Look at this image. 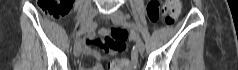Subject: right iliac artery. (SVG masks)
Returning a JSON list of instances; mask_svg holds the SVG:
<instances>
[{
	"mask_svg": "<svg viewBox=\"0 0 238 70\" xmlns=\"http://www.w3.org/2000/svg\"><path fill=\"white\" fill-rule=\"evenodd\" d=\"M95 27H96V24L92 23V24L88 25L85 29H81L78 34L80 35V34L86 32L88 30H91V29L95 28Z\"/></svg>",
	"mask_w": 238,
	"mask_h": 70,
	"instance_id": "obj_1",
	"label": "right iliac artery"
}]
</instances>
